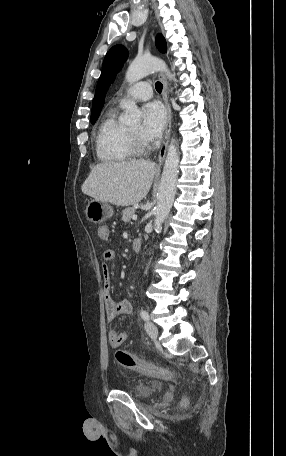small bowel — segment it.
Listing matches in <instances>:
<instances>
[{
	"label": "small bowel",
	"mask_w": 286,
	"mask_h": 456,
	"mask_svg": "<svg viewBox=\"0 0 286 456\" xmlns=\"http://www.w3.org/2000/svg\"><path fill=\"white\" fill-rule=\"evenodd\" d=\"M98 236L107 240L110 237V230L103 225L97 229ZM116 257L115 251L108 249L103 254L102 262V284H103V301L107 321H113L118 315H129L133 312V305L129 300L116 302L111 295L112 280L108 264ZM109 342L113 347H119L127 338V332L111 330L108 334Z\"/></svg>",
	"instance_id": "obj_1"
}]
</instances>
